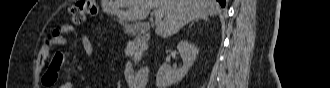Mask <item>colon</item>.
I'll return each mask as SVG.
<instances>
[{
    "mask_svg": "<svg viewBox=\"0 0 330 88\" xmlns=\"http://www.w3.org/2000/svg\"><path fill=\"white\" fill-rule=\"evenodd\" d=\"M96 12L97 7L95 1L92 0L79 1L72 5L69 9L72 23L75 25L82 24L88 17L94 16ZM57 34H59V30L56 31L53 36ZM52 63H54V60Z\"/></svg>",
    "mask_w": 330,
    "mask_h": 88,
    "instance_id": "5ec220e1",
    "label": "colon"
}]
</instances>
